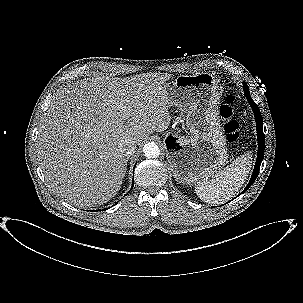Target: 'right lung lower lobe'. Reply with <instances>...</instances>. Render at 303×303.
<instances>
[{
	"instance_id": "obj_1",
	"label": "right lung lower lobe",
	"mask_w": 303,
	"mask_h": 303,
	"mask_svg": "<svg viewBox=\"0 0 303 303\" xmlns=\"http://www.w3.org/2000/svg\"><path fill=\"white\" fill-rule=\"evenodd\" d=\"M132 184H134V178H133V183ZM132 187H133V185H132ZM132 189V188H131Z\"/></svg>"
}]
</instances>
